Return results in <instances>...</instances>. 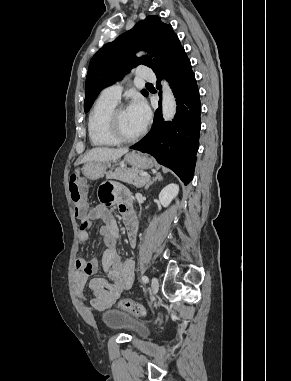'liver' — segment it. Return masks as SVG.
<instances>
[{
	"mask_svg": "<svg viewBox=\"0 0 291 381\" xmlns=\"http://www.w3.org/2000/svg\"><path fill=\"white\" fill-rule=\"evenodd\" d=\"M128 152L127 148L122 149H114L107 147H99L90 150L81 160V163L88 162H109L113 160H117L122 155Z\"/></svg>",
	"mask_w": 291,
	"mask_h": 381,
	"instance_id": "1",
	"label": "liver"
}]
</instances>
